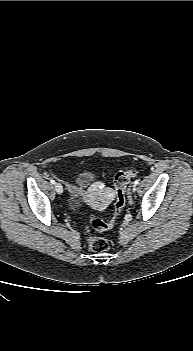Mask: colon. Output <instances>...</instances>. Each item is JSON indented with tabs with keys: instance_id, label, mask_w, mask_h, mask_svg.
Masks as SVG:
<instances>
[{
	"instance_id": "obj_1",
	"label": "colon",
	"mask_w": 193,
	"mask_h": 351,
	"mask_svg": "<svg viewBox=\"0 0 193 351\" xmlns=\"http://www.w3.org/2000/svg\"><path fill=\"white\" fill-rule=\"evenodd\" d=\"M139 174V169L136 166L129 167L124 171L118 172L114 177V193L116 196L115 201V216L118 217L125 205L128 185L130 180ZM116 220L104 221L102 219L90 218V225L96 231H106L115 225ZM89 248L96 253H102L109 249L110 242L104 237L90 236L88 238Z\"/></svg>"
}]
</instances>
